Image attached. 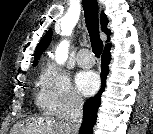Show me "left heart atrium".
<instances>
[{
  "instance_id": "left-heart-atrium-1",
  "label": "left heart atrium",
  "mask_w": 153,
  "mask_h": 134,
  "mask_svg": "<svg viewBox=\"0 0 153 134\" xmlns=\"http://www.w3.org/2000/svg\"><path fill=\"white\" fill-rule=\"evenodd\" d=\"M75 80L78 90L83 95H92L99 87V77L94 71H81Z\"/></svg>"
}]
</instances>
